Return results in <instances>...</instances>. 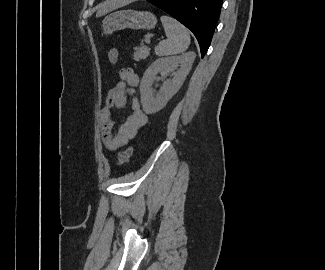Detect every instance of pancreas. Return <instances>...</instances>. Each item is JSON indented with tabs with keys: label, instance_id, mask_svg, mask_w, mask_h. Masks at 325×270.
<instances>
[{
	"label": "pancreas",
	"instance_id": "pancreas-1",
	"mask_svg": "<svg viewBox=\"0 0 325 270\" xmlns=\"http://www.w3.org/2000/svg\"><path fill=\"white\" fill-rule=\"evenodd\" d=\"M150 54V49L147 46H140L135 48V53L133 54L134 60L139 61L146 59Z\"/></svg>",
	"mask_w": 325,
	"mask_h": 270
}]
</instances>
